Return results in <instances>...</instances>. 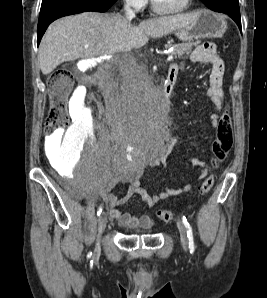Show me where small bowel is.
I'll return each instance as SVG.
<instances>
[{"mask_svg": "<svg viewBox=\"0 0 267 298\" xmlns=\"http://www.w3.org/2000/svg\"><path fill=\"white\" fill-rule=\"evenodd\" d=\"M191 61L201 62L208 64L211 68L208 87L205 95L209 98L214 106L216 112L211 113L208 117L209 125L213 129H217L221 116L218 114L222 110L224 105V91H223V76H224V62L222 58L218 55L216 46L212 43H203L197 46L190 56ZM172 67L177 71L179 66L177 64L172 65ZM69 137L70 140L74 138L73 135L68 136V133L62 130L55 132L49 141L52 144L60 143ZM193 164L203 168L202 174H205V163L200 159L194 158L192 160ZM151 167L157 166V163L150 165ZM140 173L135 174H122L116 177L114 181L104 186L99 191V196L106 203L109 210V215L111 219L118 220L120 225L131 229H151L154 226V218L151 215L144 214L141 216H135L130 212H121L118 207L125 204L133 195H139L142 200L150 207L155 206L160 201L166 200L170 196L179 195L184 192H188L191 189L190 184H185L181 188L169 189L165 188L155 194H149L140 184ZM127 181L129 182V187L125 196L118 198L115 194L111 192V188L115 182Z\"/></svg>", "mask_w": 267, "mask_h": 298, "instance_id": "obj_1", "label": "small bowel"}]
</instances>
